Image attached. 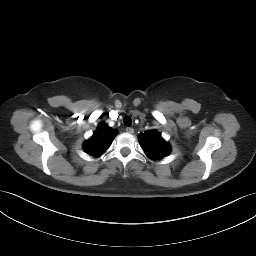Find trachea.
<instances>
[{"mask_svg":"<svg viewBox=\"0 0 256 256\" xmlns=\"http://www.w3.org/2000/svg\"><path fill=\"white\" fill-rule=\"evenodd\" d=\"M124 124L126 125V126H131V124H132V119L129 117V116H126L125 118H124Z\"/></svg>","mask_w":256,"mask_h":256,"instance_id":"1","label":"trachea"}]
</instances>
